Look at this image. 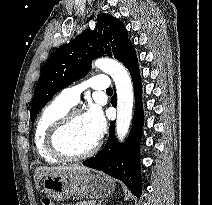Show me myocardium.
<instances>
[{
  "label": "myocardium",
  "mask_w": 212,
  "mask_h": 205,
  "mask_svg": "<svg viewBox=\"0 0 212 205\" xmlns=\"http://www.w3.org/2000/svg\"><path fill=\"white\" fill-rule=\"evenodd\" d=\"M81 115L77 109L69 110L62 115L49 129L47 134V147L49 152L63 161H78L92 156L99 148L100 142H96L86 151L80 154L68 153L62 145L63 135L74 117Z\"/></svg>",
  "instance_id": "myocardium-1"
}]
</instances>
